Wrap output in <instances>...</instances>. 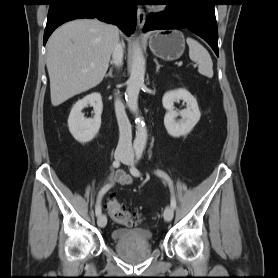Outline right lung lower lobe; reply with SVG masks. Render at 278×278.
<instances>
[{
    "mask_svg": "<svg viewBox=\"0 0 278 278\" xmlns=\"http://www.w3.org/2000/svg\"><path fill=\"white\" fill-rule=\"evenodd\" d=\"M136 4L132 0H51L44 45L61 24L79 18H98L116 24L130 35L136 25Z\"/></svg>",
    "mask_w": 278,
    "mask_h": 278,
    "instance_id": "right-lung-lower-lobe-1",
    "label": "right lung lower lobe"
}]
</instances>
